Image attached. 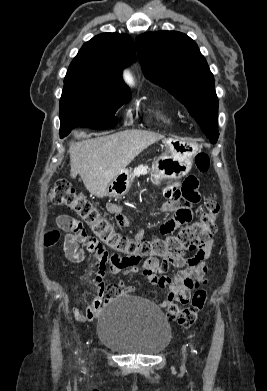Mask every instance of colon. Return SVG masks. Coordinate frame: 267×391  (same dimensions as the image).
<instances>
[{"mask_svg": "<svg viewBox=\"0 0 267 391\" xmlns=\"http://www.w3.org/2000/svg\"><path fill=\"white\" fill-rule=\"evenodd\" d=\"M199 171L206 172L210 167V157L199 153L195 157ZM49 202L75 213L91 230L86 240V248L100 255H117L125 265L156 266L168 260H177L186 252L198 251L215 233L216 221L220 215V206L215 200H209L199 217L184 225L176 234L162 236L151 240L132 239L114 228L109 219L82 193L72 188L65 180L57 181L49 192ZM58 233L52 231L45 238L46 245L54 244ZM207 292L198 289L190 306L180 308L175 303L167 305L171 320L180 325H191L203 310Z\"/></svg>", "mask_w": 267, "mask_h": 391, "instance_id": "colon-1", "label": "colon"}]
</instances>
